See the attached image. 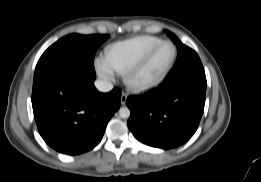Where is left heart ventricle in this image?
<instances>
[{
	"label": "left heart ventricle",
	"instance_id": "left-heart-ventricle-1",
	"mask_svg": "<svg viewBox=\"0 0 261 182\" xmlns=\"http://www.w3.org/2000/svg\"><path fill=\"white\" fill-rule=\"evenodd\" d=\"M173 58V48L169 45L159 48L150 58L145 67L138 73L137 80L149 81L158 77Z\"/></svg>",
	"mask_w": 261,
	"mask_h": 182
}]
</instances>
